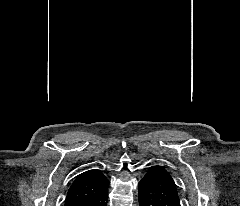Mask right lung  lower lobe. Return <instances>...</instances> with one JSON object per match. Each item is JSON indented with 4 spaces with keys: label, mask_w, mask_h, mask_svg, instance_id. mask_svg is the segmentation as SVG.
<instances>
[{
    "label": "right lung lower lobe",
    "mask_w": 240,
    "mask_h": 206,
    "mask_svg": "<svg viewBox=\"0 0 240 206\" xmlns=\"http://www.w3.org/2000/svg\"><path fill=\"white\" fill-rule=\"evenodd\" d=\"M107 196L108 187L96 196L79 203L77 206H107Z\"/></svg>",
    "instance_id": "right-lung-lower-lobe-1"
}]
</instances>
